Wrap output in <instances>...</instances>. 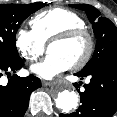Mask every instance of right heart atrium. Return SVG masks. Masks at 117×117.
Masks as SVG:
<instances>
[{
    "instance_id": "obj_1",
    "label": "right heart atrium",
    "mask_w": 117,
    "mask_h": 117,
    "mask_svg": "<svg viewBox=\"0 0 117 117\" xmlns=\"http://www.w3.org/2000/svg\"><path fill=\"white\" fill-rule=\"evenodd\" d=\"M15 46L20 55L27 61H36L45 51V43L33 30L19 28L14 38Z\"/></svg>"
}]
</instances>
